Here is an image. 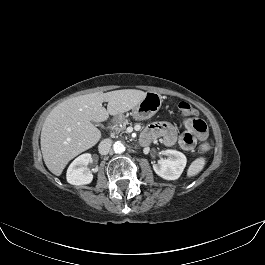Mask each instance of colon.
Instances as JSON below:
<instances>
[{"mask_svg": "<svg viewBox=\"0 0 265 265\" xmlns=\"http://www.w3.org/2000/svg\"><path fill=\"white\" fill-rule=\"evenodd\" d=\"M179 108L182 111V113L185 114L186 116L196 118L197 111L189 103L181 102L179 104ZM211 148H212V143L206 140L199 146V151L201 153H205L209 151Z\"/></svg>", "mask_w": 265, "mask_h": 265, "instance_id": "1", "label": "colon"}]
</instances>
